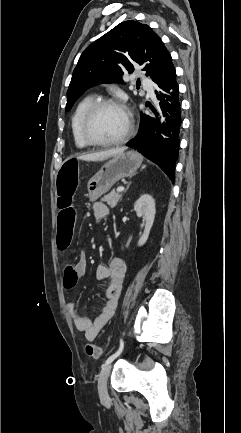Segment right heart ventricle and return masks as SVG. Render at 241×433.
Here are the masks:
<instances>
[{
    "label": "right heart ventricle",
    "mask_w": 241,
    "mask_h": 433,
    "mask_svg": "<svg viewBox=\"0 0 241 433\" xmlns=\"http://www.w3.org/2000/svg\"><path fill=\"white\" fill-rule=\"evenodd\" d=\"M94 101L95 99L92 95L83 97L76 105L72 115L71 131H72L73 140L75 145L81 149L87 148L89 146V144L86 142V140L82 135L81 122L85 112Z\"/></svg>",
    "instance_id": "right-heart-ventricle-1"
}]
</instances>
